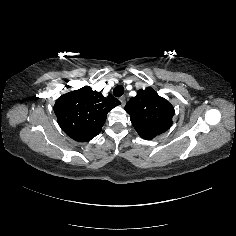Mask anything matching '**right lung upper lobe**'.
Wrapping results in <instances>:
<instances>
[{
  "label": "right lung upper lobe",
  "instance_id": "obj_1",
  "mask_svg": "<svg viewBox=\"0 0 236 236\" xmlns=\"http://www.w3.org/2000/svg\"><path fill=\"white\" fill-rule=\"evenodd\" d=\"M120 104L112 95L104 97L85 86L60 96L54 112L59 125L70 138L86 142L100 133L107 113Z\"/></svg>",
  "mask_w": 236,
  "mask_h": 236
}]
</instances>
